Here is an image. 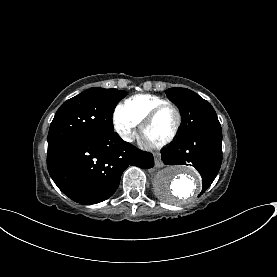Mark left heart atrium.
Masks as SVG:
<instances>
[{
  "label": "left heart atrium",
  "mask_w": 277,
  "mask_h": 277,
  "mask_svg": "<svg viewBox=\"0 0 277 277\" xmlns=\"http://www.w3.org/2000/svg\"><path fill=\"white\" fill-rule=\"evenodd\" d=\"M143 141L145 142V143H147V144H150L151 142L145 137V136H143Z\"/></svg>",
  "instance_id": "39dd6f15"
}]
</instances>
